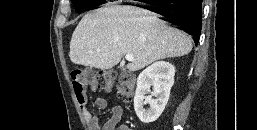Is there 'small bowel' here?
<instances>
[{
  "mask_svg": "<svg viewBox=\"0 0 257 130\" xmlns=\"http://www.w3.org/2000/svg\"><path fill=\"white\" fill-rule=\"evenodd\" d=\"M78 103L86 120L88 130H131L126 125H119L123 117V109L121 106H113L111 116L104 123H101L95 115L90 113L86 97L82 101L78 100ZM96 104L100 109H105L108 101L104 98H97Z\"/></svg>",
  "mask_w": 257,
  "mask_h": 130,
  "instance_id": "1",
  "label": "small bowel"
}]
</instances>
